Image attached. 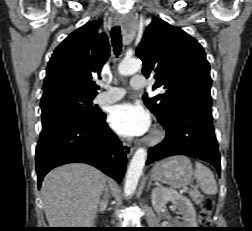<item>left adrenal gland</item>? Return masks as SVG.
<instances>
[{
  "label": "left adrenal gland",
  "mask_w": 252,
  "mask_h": 231,
  "mask_svg": "<svg viewBox=\"0 0 252 231\" xmlns=\"http://www.w3.org/2000/svg\"><path fill=\"white\" fill-rule=\"evenodd\" d=\"M152 185V182H151V180H148V186H147V190H149L150 189V186Z\"/></svg>",
  "instance_id": "a2214340"
}]
</instances>
